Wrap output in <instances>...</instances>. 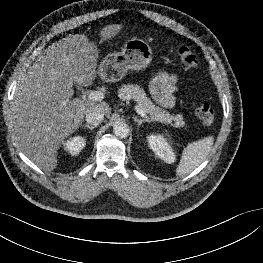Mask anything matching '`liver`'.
Masks as SVG:
<instances>
[{
	"instance_id": "1",
	"label": "liver",
	"mask_w": 263,
	"mask_h": 263,
	"mask_svg": "<svg viewBox=\"0 0 263 263\" xmlns=\"http://www.w3.org/2000/svg\"><path fill=\"white\" fill-rule=\"evenodd\" d=\"M122 25L100 31L103 40L115 37ZM99 52L87 36L75 34L50 45L18 84L11 108L10 125L17 147L44 171L56 168L58 149L82 124L86 113L101 109L105 101L73 96V84L90 86L97 77Z\"/></svg>"
}]
</instances>
